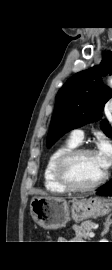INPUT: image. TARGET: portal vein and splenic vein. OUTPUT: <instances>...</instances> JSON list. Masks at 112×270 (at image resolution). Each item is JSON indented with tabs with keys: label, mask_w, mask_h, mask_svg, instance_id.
Masks as SVG:
<instances>
[{
	"label": "portal vein and splenic vein",
	"mask_w": 112,
	"mask_h": 270,
	"mask_svg": "<svg viewBox=\"0 0 112 270\" xmlns=\"http://www.w3.org/2000/svg\"><path fill=\"white\" fill-rule=\"evenodd\" d=\"M89 236H90L91 238H93V237L95 236V233H94V232H90V233H89Z\"/></svg>",
	"instance_id": "portal-vein-and-splenic-vein-1"
}]
</instances>
